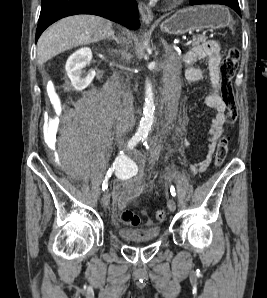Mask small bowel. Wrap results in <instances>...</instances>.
I'll return each mask as SVG.
<instances>
[{
  "mask_svg": "<svg viewBox=\"0 0 267 298\" xmlns=\"http://www.w3.org/2000/svg\"><path fill=\"white\" fill-rule=\"evenodd\" d=\"M206 59L208 65V74L211 83L212 90L205 99V103L208 107L215 110L214 117L212 118L209 128V144L206 157L195 166V169L204 171L211 162L215 143L223 133V125L228 120L227 107L222 100L219 93L220 75L219 66L221 63V52L219 45L214 41H207L200 45L195 46L192 50L188 51L184 55L185 64V77L190 83L199 81L203 77V71L195 64L197 61ZM170 112L172 115L177 114L176 103L173 102ZM144 191L143 184L137 179L130 180L123 188L116 186L113 192V197L116 200L117 207L122 210L127 207L129 201L139 196ZM134 206H138L139 202L135 201ZM144 212V211H142ZM150 229L143 230L142 234H147Z\"/></svg>",
  "mask_w": 267,
  "mask_h": 298,
  "instance_id": "1",
  "label": "small bowel"
}]
</instances>
